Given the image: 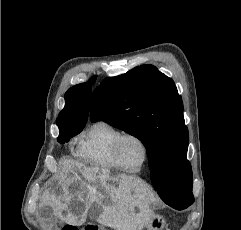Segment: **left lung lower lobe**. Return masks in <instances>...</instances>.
<instances>
[{"label": "left lung lower lobe", "instance_id": "0a47b994", "mask_svg": "<svg viewBox=\"0 0 241 230\" xmlns=\"http://www.w3.org/2000/svg\"><path fill=\"white\" fill-rule=\"evenodd\" d=\"M151 171V181L153 183L154 188L157 190L159 185L163 182V175H162V167L159 164L152 165L150 167ZM168 204V203H166ZM171 207L182 210L189 206V204H178V203H169Z\"/></svg>", "mask_w": 241, "mask_h": 230}]
</instances>
